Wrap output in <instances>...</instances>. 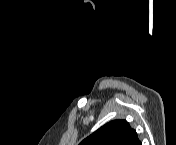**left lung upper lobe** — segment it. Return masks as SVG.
Instances as JSON below:
<instances>
[{
    "mask_svg": "<svg viewBox=\"0 0 176 145\" xmlns=\"http://www.w3.org/2000/svg\"><path fill=\"white\" fill-rule=\"evenodd\" d=\"M80 145H141V142L127 121L114 120L84 139Z\"/></svg>",
    "mask_w": 176,
    "mask_h": 145,
    "instance_id": "5c2ea615",
    "label": "left lung upper lobe"
}]
</instances>
